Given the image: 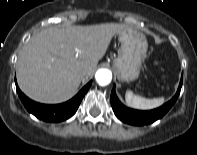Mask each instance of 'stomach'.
<instances>
[{
  "mask_svg": "<svg viewBox=\"0 0 197 155\" xmlns=\"http://www.w3.org/2000/svg\"><path fill=\"white\" fill-rule=\"evenodd\" d=\"M118 38L121 47L113 63L114 71L120 81H134L139 77L142 62L146 58V37L138 31L125 28L118 32Z\"/></svg>",
  "mask_w": 197,
  "mask_h": 155,
  "instance_id": "1",
  "label": "stomach"
}]
</instances>
